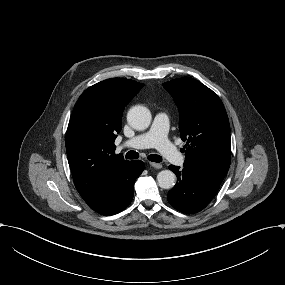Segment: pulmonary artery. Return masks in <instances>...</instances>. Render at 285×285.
<instances>
[{"mask_svg": "<svg viewBox=\"0 0 285 285\" xmlns=\"http://www.w3.org/2000/svg\"><path fill=\"white\" fill-rule=\"evenodd\" d=\"M171 115L167 111H160L148 130H143L135 137L122 139V148L132 147H156L163 155L168 157L174 164L183 166L185 155L173 146L167 137L160 132H166L170 128Z\"/></svg>", "mask_w": 285, "mask_h": 285, "instance_id": "e3ab8cb5", "label": "pulmonary artery"}]
</instances>
